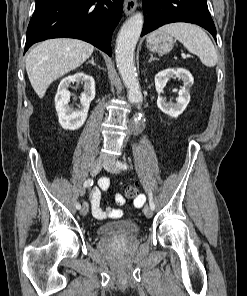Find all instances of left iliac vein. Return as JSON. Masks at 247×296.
<instances>
[{
    "label": "left iliac vein",
    "mask_w": 247,
    "mask_h": 296,
    "mask_svg": "<svg viewBox=\"0 0 247 296\" xmlns=\"http://www.w3.org/2000/svg\"><path fill=\"white\" fill-rule=\"evenodd\" d=\"M103 167L108 172H112V173H119L120 172L119 168L117 167L115 162L112 160L105 161V163L103 164ZM143 211H144V214L146 217H148V218L152 217L153 211L149 205H146L144 207Z\"/></svg>",
    "instance_id": "1"
}]
</instances>
